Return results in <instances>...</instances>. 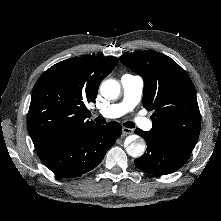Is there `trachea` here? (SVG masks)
<instances>
[{
	"label": "trachea",
	"instance_id": "trachea-1",
	"mask_svg": "<svg viewBox=\"0 0 221 221\" xmlns=\"http://www.w3.org/2000/svg\"><path fill=\"white\" fill-rule=\"evenodd\" d=\"M95 121L97 123H100V124H104L105 123V119L103 117H97L95 119ZM124 126L127 127V128H134L135 124L132 121H127V122L124 123Z\"/></svg>",
	"mask_w": 221,
	"mask_h": 221
}]
</instances>
